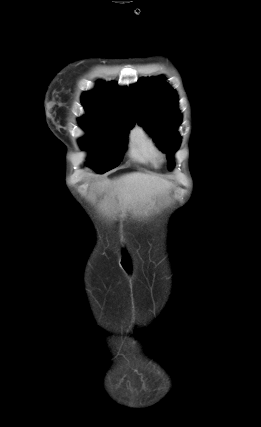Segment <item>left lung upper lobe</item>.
I'll return each mask as SVG.
<instances>
[{
	"label": "left lung upper lobe",
	"mask_w": 261,
	"mask_h": 427,
	"mask_svg": "<svg viewBox=\"0 0 261 427\" xmlns=\"http://www.w3.org/2000/svg\"><path fill=\"white\" fill-rule=\"evenodd\" d=\"M138 123L153 137L159 148L167 154L168 168L174 166L173 153L179 148L177 128L182 115L177 110L178 96L165 83L163 76L141 78L129 87Z\"/></svg>",
	"instance_id": "obj_1"
}]
</instances>
